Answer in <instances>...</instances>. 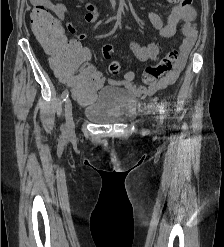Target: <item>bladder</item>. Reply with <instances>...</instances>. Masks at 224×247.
Instances as JSON below:
<instances>
[{
	"label": "bladder",
	"instance_id": "bladder-1",
	"mask_svg": "<svg viewBox=\"0 0 224 247\" xmlns=\"http://www.w3.org/2000/svg\"><path fill=\"white\" fill-rule=\"evenodd\" d=\"M135 100L117 86H104L83 109L85 117L99 125H115L128 121L134 115Z\"/></svg>",
	"mask_w": 224,
	"mask_h": 247
}]
</instances>
